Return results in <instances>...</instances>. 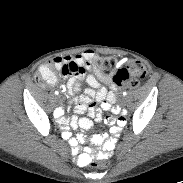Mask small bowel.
Masks as SVG:
<instances>
[{"instance_id": "obj_1", "label": "small bowel", "mask_w": 183, "mask_h": 183, "mask_svg": "<svg viewBox=\"0 0 183 183\" xmlns=\"http://www.w3.org/2000/svg\"><path fill=\"white\" fill-rule=\"evenodd\" d=\"M96 59L97 55L93 50H85L75 56L55 57L40 68V70L47 68L61 70L64 65L72 64L76 66L77 71L69 74L71 77H69L67 84L62 87L68 96H73L81 91L83 79H85L88 84V88L85 89L84 93L73 99L75 103V114L65 118L61 116L65 112L63 106L58 105L53 108L52 113L58 118V122L62 126L66 127L69 125L73 129L80 127L84 130H89L92 127L91 118L96 122H101L103 119V111L111 110L114 113L118 112L117 124L119 127L116 125H111L108 128L109 135L114 137L111 138L108 135H101L99 132L92 133V145H101V149L95 151L94 146H85L84 153L77 155L75 158L76 163L81 166L86 165L88 159L92 158V155L96 161H108L111 158V155L115 151V144L120 127L127 126L129 117L128 109L121 108L118 110V108L114 106L117 100L116 88L113 87L111 90H108L101 84V81L104 83H111V80L104 76L95 67ZM92 71L96 73V76L92 73ZM55 81L56 79H54L50 85L54 84ZM85 111H88L90 118L77 117L78 114H82ZM105 122L107 124H113L115 119L108 117ZM63 137L68 140L70 146L75 152H78L79 150L78 144L84 141L83 135H78L76 138H72L71 134L67 130L63 132Z\"/></svg>"}]
</instances>
